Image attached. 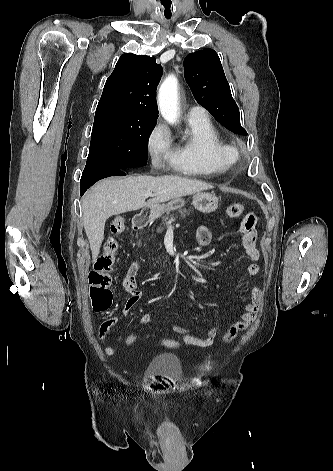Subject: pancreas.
I'll use <instances>...</instances> for the list:
<instances>
[{
    "mask_svg": "<svg viewBox=\"0 0 333 471\" xmlns=\"http://www.w3.org/2000/svg\"><path fill=\"white\" fill-rule=\"evenodd\" d=\"M179 213L181 214V216H186V215L189 214V210L188 209H182V210H179ZM169 216H171V215H169V213H168L166 217L162 218V223L160 224V226H158L156 228L157 233H162L163 232V229L167 226ZM152 231H153V228H152ZM137 244L141 245V240H139Z\"/></svg>",
    "mask_w": 333,
    "mask_h": 471,
    "instance_id": "obj_1",
    "label": "pancreas"
}]
</instances>
